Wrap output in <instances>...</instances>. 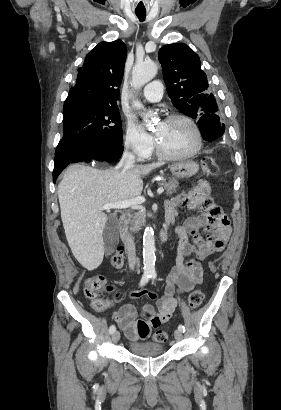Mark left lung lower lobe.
Masks as SVG:
<instances>
[{"label":"left lung lower lobe","mask_w":281,"mask_h":410,"mask_svg":"<svg viewBox=\"0 0 281 410\" xmlns=\"http://www.w3.org/2000/svg\"><path fill=\"white\" fill-rule=\"evenodd\" d=\"M198 126L204 140L213 141L221 137L225 132V125L214 114H204L199 118Z\"/></svg>","instance_id":"left-lung-lower-lobe-1"}]
</instances>
